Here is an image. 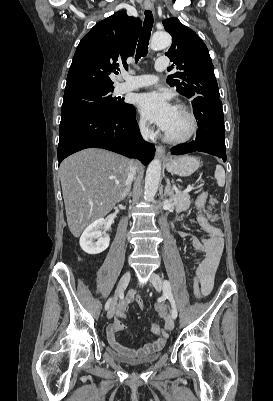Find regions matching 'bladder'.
Listing matches in <instances>:
<instances>
[{"label": "bladder", "instance_id": "bladder-1", "mask_svg": "<svg viewBox=\"0 0 273 401\" xmlns=\"http://www.w3.org/2000/svg\"><path fill=\"white\" fill-rule=\"evenodd\" d=\"M107 351L109 353V355L111 356V358L121 364H125L131 367H136V366H142V365H150L154 362H156L160 356H161V351L155 352L143 359H139V360H131V359H127L126 357H124L123 355L117 353L116 351H114L112 348L108 347Z\"/></svg>", "mask_w": 273, "mask_h": 401}]
</instances>
